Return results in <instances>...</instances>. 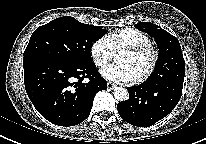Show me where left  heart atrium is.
Listing matches in <instances>:
<instances>
[{
	"instance_id": "1",
	"label": "left heart atrium",
	"mask_w": 206,
	"mask_h": 144,
	"mask_svg": "<svg viewBox=\"0 0 206 144\" xmlns=\"http://www.w3.org/2000/svg\"><path fill=\"white\" fill-rule=\"evenodd\" d=\"M101 74L115 83H130L137 79L133 69L125 63L109 65L101 70Z\"/></svg>"
}]
</instances>
